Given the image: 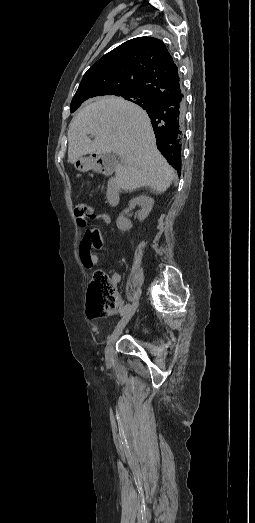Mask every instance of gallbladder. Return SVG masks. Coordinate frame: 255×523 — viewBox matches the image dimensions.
Listing matches in <instances>:
<instances>
[{
	"label": "gallbladder",
	"mask_w": 255,
	"mask_h": 523,
	"mask_svg": "<svg viewBox=\"0 0 255 523\" xmlns=\"http://www.w3.org/2000/svg\"><path fill=\"white\" fill-rule=\"evenodd\" d=\"M105 164H110V162H115V158H113V156H110V154H104V156H102Z\"/></svg>",
	"instance_id": "1"
}]
</instances>
